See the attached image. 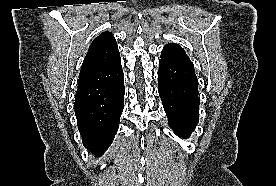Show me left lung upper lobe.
<instances>
[{"label": "left lung upper lobe", "mask_w": 276, "mask_h": 186, "mask_svg": "<svg viewBox=\"0 0 276 186\" xmlns=\"http://www.w3.org/2000/svg\"><path fill=\"white\" fill-rule=\"evenodd\" d=\"M161 60L193 66V63L186 55L184 49L175 43L164 46L161 52Z\"/></svg>", "instance_id": "5c2ea615"}]
</instances>
